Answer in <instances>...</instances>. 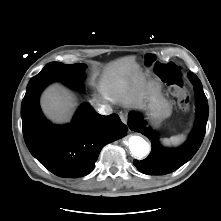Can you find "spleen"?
I'll list each match as a JSON object with an SVG mask.
<instances>
[{
  "mask_svg": "<svg viewBox=\"0 0 221 221\" xmlns=\"http://www.w3.org/2000/svg\"><path fill=\"white\" fill-rule=\"evenodd\" d=\"M184 136L183 135H178V136H172L171 138L169 139H165L163 141L164 145L166 146H171V145H177L179 144L181 141L184 140Z\"/></svg>",
  "mask_w": 221,
  "mask_h": 221,
  "instance_id": "1",
  "label": "spleen"
}]
</instances>
